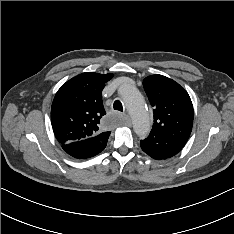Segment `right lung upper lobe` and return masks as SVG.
Instances as JSON below:
<instances>
[{"mask_svg": "<svg viewBox=\"0 0 234 234\" xmlns=\"http://www.w3.org/2000/svg\"><path fill=\"white\" fill-rule=\"evenodd\" d=\"M113 74L86 72L64 83L55 95L51 122L57 140L63 145L92 137H109L101 118L106 114L101 92Z\"/></svg>", "mask_w": 234, "mask_h": 234, "instance_id": "right-lung-upper-lobe-1", "label": "right lung upper lobe"}]
</instances>
